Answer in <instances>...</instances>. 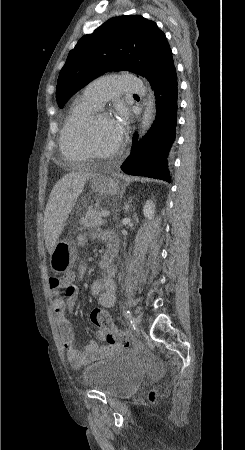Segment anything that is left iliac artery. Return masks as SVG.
Here are the masks:
<instances>
[{"label":"left iliac artery","mask_w":245,"mask_h":450,"mask_svg":"<svg viewBox=\"0 0 245 450\" xmlns=\"http://www.w3.org/2000/svg\"><path fill=\"white\" fill-rule=\"evenodd\" d=\"M125 317L127 318V319H129L130 320V322L132 323V315H131V313H130V311H125Z\"/></svg>","instance_id":"44dca946"}]
</instances>
